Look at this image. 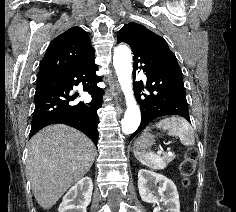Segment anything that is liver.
Listing matches in <instances>:
<instances>
[{
	"label": "liver",
	"mask_w": 236,
	"mask_h": 212,
	"mask_svg": "<svg viewBox=\"0 0 236 212\" xmlns=\"http://www.w3.org/2000/svg\"><path fill=\"white\" fill-rule=\"evenodd\" d=\"M96 155L93 142L67 125L45 127L30 140L27 175L37 203L50 209L81 180Z\"/></svg>",
	"instance_id": "liver-1"
}]
</instances>
